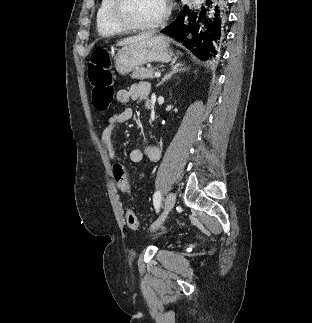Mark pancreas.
Masks as SVG:
<instances>
[{"instance_id": "1", "label": "pancreas", "mask_w": 312, "mask_h": 323, "mask_svg": "<svg viewBox=\"0 0 312 323\" xmlns=\"http://www.w3.org/2000/svg\"><path fill=\"white\" fill-rule=\"evenodd\" d=\"M155 68H136L132 74L131 78H136V80H146V78H155L154 72Z\"/></svg>"}]
</instances>
